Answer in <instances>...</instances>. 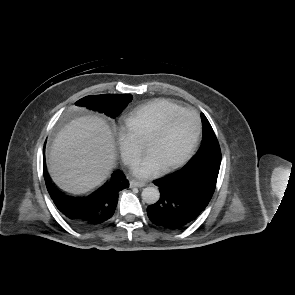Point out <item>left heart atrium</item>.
Instances as JSON below:
<instances>
[{
  "label": "left heart atrium",
  "mask_w": 295,
  "mask_h": 295,
  "mask_svg": "<svg viewBox=\"0 0 295 295\" xmlns=\"http://www.w3.org/2000/svg\"><path fill=\"white\" fill-rule=\"evenodd\" d=\"M161 168L157 159L148 153L133 165L132 172L138 177L146 178L156 174Z\"/></svg>",
  "instance_id": "left-heart-atrium-1"
}]
</instances>
